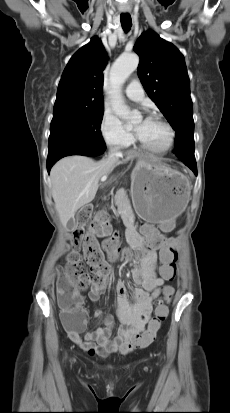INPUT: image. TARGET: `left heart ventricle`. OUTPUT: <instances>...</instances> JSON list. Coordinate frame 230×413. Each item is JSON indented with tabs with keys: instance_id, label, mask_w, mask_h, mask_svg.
<instances>
[{
	"instance_id": "obj_1",
	"label": "left heart ventricle",
	"mask_w": 230,
	"mask_h": 413,
	"mask_svg": "<svg viewBox=\"0 0 230 413\" xmlns=\"http://www.w3.org/2000/svg\"><path fill=\"white\" fill-rule=\"evenodd\" d=\"M141 123L136 125V130L139 128ZM167 130L166 128L156 120H149V123L145 129L138 135V137L145 143L153 146H161L167 140Z\"/></svg>"
}]
</instances>
